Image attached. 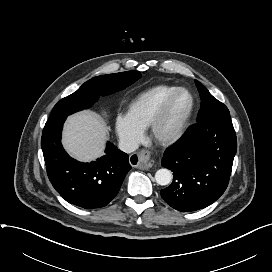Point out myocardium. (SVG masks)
I'll return each instance as SVG.
<instances>
[{"label": "myocardium", "instance_id": "1", "mask_svg": "<svg viewBox=\"0 0 272 272\" xmlns=\"http://www.w3.org/2000/svg\"><path fill=\"white\" fill-rule=\"evenodd\" d=\"M181 92H186L190 95L191 97V107L185 116V118L181 121V123L178 125V127L170 134L168 135H163L161 133V126L163 122L165 121L170 108L172 106L173 101L177 97L178 94ZM196 97L194 93L189 90L188 88L185 87H178L176 90H174L163 102L162 106L154 116L153 120L151 121L149 125V130H150V135L151 138L158 143L159 145L162 146H170L178 142L185 132L187 131L192 118L194 116L195 110H196Z\"/></svg>", "mask_w": 272, "mask_h": 272}]
</instances>
